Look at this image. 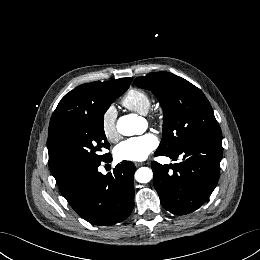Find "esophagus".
<instances>
[{"instance_id":"34e87169","label":"esophagus","mask_w":260,"mask_h":260,"mask_svg":"<svg viewBox=\"0 0 260 260\" xmlns=\"http://www.w3.org/2000/svg\"><path fill=\"white\" fill-rule=\"evenodd\" d=\"M134 164H135L136 167H140V166L144 165L143 162H135Z\"/></svg>"}]
</instances>
